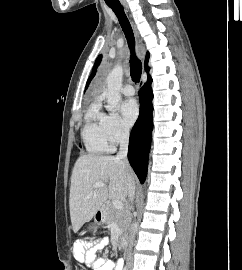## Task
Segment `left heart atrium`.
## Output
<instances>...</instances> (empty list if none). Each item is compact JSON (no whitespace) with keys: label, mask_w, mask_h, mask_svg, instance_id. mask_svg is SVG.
I'll list each match as a JSON object with an SVG mask.
<instances>
[{"label":"left heart atrium","mask_w":242,"mask_h":270,"mask_svg":"<svg viewBox=\"0 0 242 270\" xmlns=\"http://www.w3.org/2000/svg\"><path fill=\"white\" fill-rule=\"evenodd\" d=\"M121 113L126 125L131 126L135 123L139 115V107L134 99H128L121 106Z\"/></svg>","instance_id":"left-heart-atrium-1"}]
</instances>
